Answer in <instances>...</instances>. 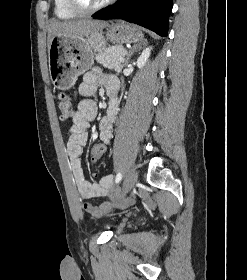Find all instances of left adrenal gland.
<instances>
[{"label": "left adrenal gland", "mask_w": 247, "mask_h": 280, "mask_svg": "<svg viewBox=\"0 0 247 280\" xmlns=\"http://www.w3.org/2000/svg\"><path fill=\"white\" fill-rule=\"evenodd\" d=\"M146 43H147V40H143L140 43L133 45V47L129 50V53L127 55V58H126V61L124 64L125 66L128 65L129 60H130L131 56L133 55V53L136 52L137 49H141L142 45H146Z\"/></svg>", "instance_id": "1"}]
</instances>
